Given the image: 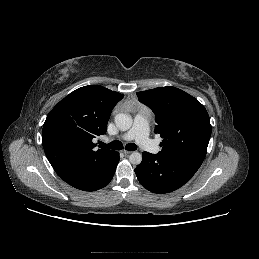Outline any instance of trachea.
Returning <instances> with one entry per match:
<instances>
[{
    "mask_svg": "<svg viewBox=\"0 0 259 259\" xmlns=\"http://www.w3.org/2000/svg\"><path fill=\"white\" fill-rule=\"evenodd\" d=\"M100 146L104 147V148H108V149H113V150H121V149H123L122 143L120 141H117V140L112 141L109 144H105V143L101 142ZM125 149L128 150V151H135L137 149V146L134 143H128L125 146Z\"/></svg>",
    "mask_w": 259,
    "mask_h": 259,
    "instance_id": "trachea-1",
    "label": "trachea"
}]
</instances>
